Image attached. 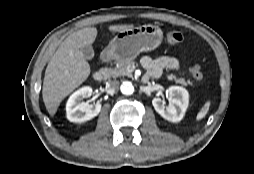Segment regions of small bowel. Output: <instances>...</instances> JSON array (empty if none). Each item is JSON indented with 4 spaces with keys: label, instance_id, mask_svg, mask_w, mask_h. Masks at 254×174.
Segmentation results:
<instances>
[{
    "label": "small bowel",
    "instance_id": "1",
    "mask_svg": "<svg viewBox=\"0 0 254 174\" xmlns=\"http://www.w3.org/2000/svg\"><path fill=\"white\" fill-rule=\"evenodd\" d=\"M141 63L146 69V77L152 78L159 77L165 69L177 70L180 67L179 61L169 56H162L159 58L145 56L142 58Z\"/></svg>",
    "mask_w": 254,
    "mask_h": 174
}]
</instances>
